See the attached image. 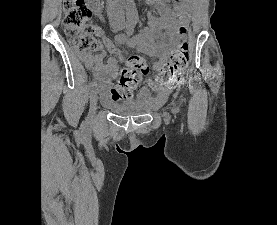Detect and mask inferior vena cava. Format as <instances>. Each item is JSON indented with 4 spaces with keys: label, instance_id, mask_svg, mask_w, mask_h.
Instances as JSON below:
<instances>
[{
    "label": "inferior vena cava",
    "instance_id": "inferior-vena-cava-1",
    "mask_svg": "<svg viewBox=\"0 0 277 225\" xmlns=\"http://www.w3.org/2000/svg\"><path fill=\"white\" fill-rule=\"evenodd\" d=\"M107 5L109 8H116V9H120L121 5H120V0H107ZM119 19L122 23V25H124V16L123 14H120Z\"/></svg>",
    "mask_w": 277,
    "mask_h": 225
}]
</instances>
